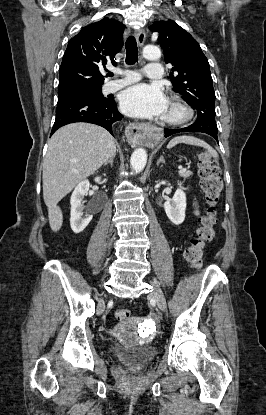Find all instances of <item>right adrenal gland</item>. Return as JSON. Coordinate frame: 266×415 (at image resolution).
Instances as JSON below:
<instances>
[{"mask_svg": "<svg viewBox=\"0 0 266 415\" xmlns=\"http://www.w3.org/2000/svg\"><path fill=\"white\" fill-rule=\"evenodd\" d=\"M115 156H116V154H115L114 156H112L109 160H107V161L104 163V166H106V165L110 164V166L112 167V166H113V159L115 158Z\"/></svg>", "mask_w": 266, "mask_h": 415, "instance_id": "obj_1", "label": "right adrenal gland"}]
</instances>
